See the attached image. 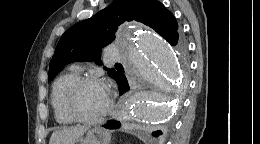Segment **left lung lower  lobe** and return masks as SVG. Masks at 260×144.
Here are the masks:
<instances>
[{
	"instance_id": "obj_1",
	"label": "left lung lower lobe",
	"mask_w": 260,
	"mask_h": 144,
	"mask_svg": "<svg viewBox=\"0 0 260 144\" xmlns=\"http://www.w3.org/2000/svg\"><path fill=\"white\" fill-rule=\"evenodd\" d=\"M184 42L182 35L180 33H176L172 40L169 42L171 45L175 46L176 44H180ZM123 72H121V75L118 77V79L116 80L118 86H119V90H120V95L128 92L130 90V87L128 85L127 79L125 77L124 74H122ZM103 127L107 128V129H118L121 127V123L117 120H110L108 121L105 125H103ZM162 132L161 131H156L153 133L154 136H158L161 135Z\"/></svg>"
}]
</instances>
